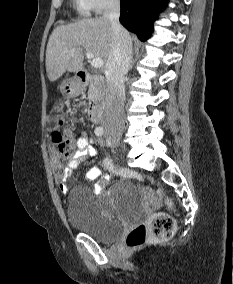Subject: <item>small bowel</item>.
Masks as SVG:
<instances>
[{"label":"small bowel","instance_id":"obj_1","mask_svg":"<svg viewBox=\"0 0 233 284\" xmlns=\"http://www.w3.org/2000/svg\"><path fill=\"white\" fill-rule=\"evenodd\" d=\"M96 156V150L93 147L90 140L87 138L85 133H81L80 137L76 141V152L69 157V159L63 164L57 163L56 166V180L61 191L66 192L69 189V180L72 173L78 168L79 164L86 159L93 158ZM101 174V170L98 167L91 168L85 176L87 181H93L97 179ZM108 181L107 177H103L96 185L95 191L100 192Z\"/></svg>","mask_w":233,"mask_h":284}]
</instances>
